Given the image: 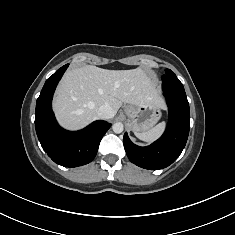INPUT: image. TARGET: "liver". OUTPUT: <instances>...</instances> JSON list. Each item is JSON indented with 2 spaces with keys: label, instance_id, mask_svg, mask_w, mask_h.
Segmentation results:
<instances>
[{
  "label": "liver",
  "instance_id": "1",
  "mask_svg": "<svg viewBox=\"0 0 235 235\" xmlns=\"http://www.w3.org/2000/svg\"><path fill=\"white\" fill-rule=\"evenodd\" d=\"M123 103L164 107L155 82L142 69L107 70L86 65L65 73L53 109L61 126L77 130L99 118L100 106L109 105L115 115Z\"/></svg>",
  "mask_w": 235,
  "mask_h": 235
}]
</instances>
